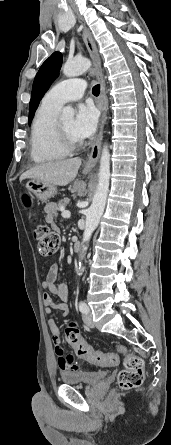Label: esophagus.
I'll return each mask as SVG.
<instances>
[{"label":"esophagus","instance_id":"obj_1","mask_svg":"<svg viewBox=\"0 0 171 445\" xmlns=\"http://www.w3.org/2000/svg\"><path fill=\"white\" fill-rule=\"evenodd\" d=\"M82 34H83V39L86 44V47H87L89 54L93 60L94 68L97 73V77L100 80V84H101V94H100V99H99V103H98V106L101 110L99 135H98L95 143L92 145L91 151L88 155V158H87L85 166H84V171H89L96 165L99 155H100L101 142H102V138H103V129H104V125L106 122V115H107V110H108V99L106 96V84H105V79H104V76L102 73L101 60H100L97 46H96V44L92 38V35L88 29L84 28Z\"/></svg>","mask_w":171,"mask_h":445}]
</instances>
